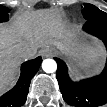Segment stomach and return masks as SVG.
Returning <instances> with one entry per match:
<instances>
[{"label":"stomach","mask_w":107,"mask_h":107,"mask_svg":"<svg viewBox=\"0 0 107 107\" xmlns=\"http://www.w3.org/2000/svg\"><path fill=\"white\" fill-rule=\"evenodd\" d=\"M59 49H60V48H59ZM60 51L65 52V53L68 54V55H73V52H72V51H69L67 48H65V49H60Z\"/></svg>","instance_id":"0dacf381"}]
</instances>
